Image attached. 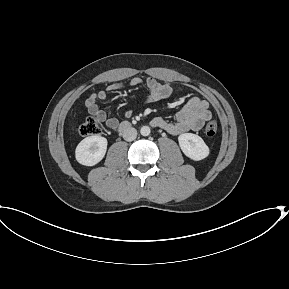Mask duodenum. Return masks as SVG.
Masks as SVG:
<instances>
[{
	"label": "duodenum",
	"mask_w": 289,
	"mask_h": 289,
	"mask_svg": "<svg viewBox=\"0 0 289 289\" xmlns=\"http://www.w3.org/2000/svg\"><path fill=\"white\" fill-rule=\"evenodd\" d=\"M130 128V124L127 123V122H124L121 124L120 128H119V131L120 132H125L127 131L128 129Z\"/></svg>",
	"instance_id": "410a0bca"
}]
</instances>
